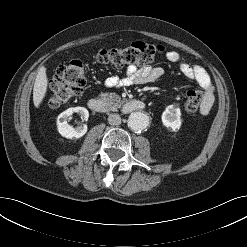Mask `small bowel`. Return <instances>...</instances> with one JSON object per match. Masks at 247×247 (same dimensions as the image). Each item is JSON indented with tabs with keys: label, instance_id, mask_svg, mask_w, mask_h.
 Segmentation results:
<instances>
[{
	"label": "small bowel",
	"instance_id": "obj_1",
	"mask_svg": "<svg viewBox=\"0 0 247 247\" xmlns=\"http://www.w3.org/2000/svg\"><path fill=\"white\" fill-rule=\"evenodd\" d=\"M167 59L176 63L180 72L187 79L194 81L202 91V101L200 113L207 115L214 103V87L206 70L199 66L184 61L177 51H169L166 54ZM164 70L158 66L137 67L131 65L127 68L124 76H111L105 79L104 86L107 88H121L133 84H146L154 82L161 78Z\"/></svg>",
	"mask_w": 247,
	"mask_h": 247
}]
</instances>
